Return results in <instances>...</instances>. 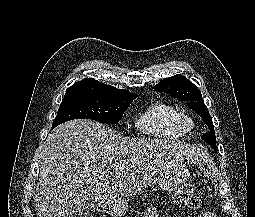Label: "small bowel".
<instances>
[{"instance_id": "1", "label": "small bowel", "mask_w": 255, "mask_h": 217, "mask_svg": "<svg viewBox=\"0 0 255 217\" xmlns=\"http://www.w3.org/2000/svg\"><path fill=\"white\" fill-rule=\"evenodd\" d=\"M143 217H158L156 208H148ZM198 217H218V214L213 211H206L201 213Z\"/></svg>"}]
</instances>
